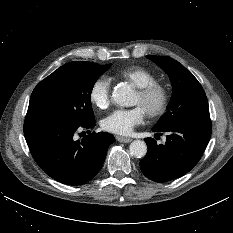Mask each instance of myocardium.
Here are the masks:
<instances>
[{"mask_svg": "<svg viewBox=\"0 0 233 233\" xmlns=\"http://www.w3.org/2000/svg\"><path fill=\"white\" fill-rule=\"evenodd\" d=\"M137 94L145 100L153 97L158 98L157 106L146 112L150 118H158L166 112L170 101V94L165 85L159 82H154L138 88Z\"/></svg>", "mask_w": 233, "mask_h": 233, "instance_id": "1", "label": "myocardium"}]
</instances>
